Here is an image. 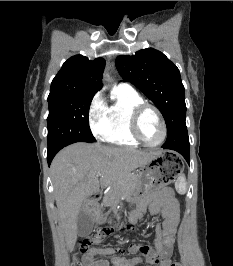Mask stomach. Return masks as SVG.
I'll return each instance as SVG.
<instances>
[{
	"label": "stomach",
	"instance_id": "1",
	"mask_svg": "<svg viewBox=\"0 0 233 266\" xmlns=\"http://www.w3.org/2000/svg\"><path fill=\"white\" fill-rule=\"evenodd\" d=\"M164 152H156L147 164L140 167L137 176L139 179L138 190L149 192L156 185H176L180 172H184V166L180 152H169V147L163 148ZM97 220L101 221L102 216L97 213Z\"/></svg>",
	"mask_w": 233,
	"mask_h": 266
}]
</instances>
